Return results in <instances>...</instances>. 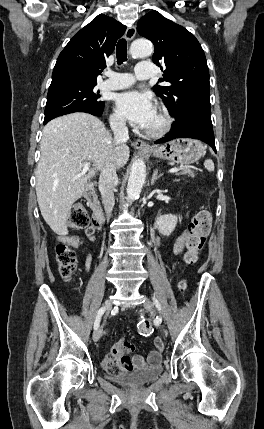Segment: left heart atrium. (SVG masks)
<instances>
[{
    "mask_svg": "<svg viewBox=\"0 0 264 429\" xmlns=\"http://www.w3.org/2000/svg\"><path fill=\"white\" fill-rule=\"evenodd\" d=\"M115 105L120 116L141 128H146L156 114L151 96L135 90L118 94Z\"/></svg>",
    "mask_w": 264,
    "mask_h": 429,
    "instance_id": "1",
    "label": "left heart atrium"
}]
</instances>
